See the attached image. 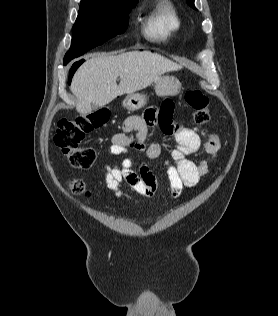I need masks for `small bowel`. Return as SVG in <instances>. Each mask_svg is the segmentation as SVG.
<instances>
[{
  "label": "small bowel",
  "mask_w": 278,
  "mask_h": 316,
  "mask_svg": "<svg viewBox=\"0 0 278 316\" xmlns=\"http://www.w3.org/2000/svg\"><path fill=\"white\" fill-rule=\"evenodd\" d=\"M173 103L165 100L161 107L151 106L143 115L127 117L122 125V132L111 138L108 152L111 155H123L129 150L143 152L146 159L155 160L162 154L158 143L147 144L148 128L159 124L162 130L174 137L176 147L171 152L170 159L164 165L170 184V193L173 198L179 197L185 188L196 186L200 179L208 174L209 163L205 155L215 160L220 152L221 143L217 134L209 133L204 138L192 128L177 126L172 122ZM200 153L197 160L190 155ZM104 179L107 187L114 191L116 196H123L120 184L125 182L136 195V202L140 197H150L158 188V181L147 163H142L139 169L134 170V162L125 157L117 164H105Z\"/></svg>",
  "instance_id": "small-bowel-1"
}]
</instances>
